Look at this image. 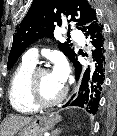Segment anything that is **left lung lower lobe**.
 I'll use <instances>...</instances> for the list:
<instances>
[{
    "label": "left lung lower lobe",
    "mask_w": 117,
    "mask_h": 136,
    "mask_svg": "<svg viewBox=\"0 0 117 136\" xmlns=\"http://www.w3.org/2000/svg\"><path fill=\"white\" fill-rule=\"evenodd\" d=\"M88 34L93 45V60L92 69L89 68L84 73L80 89L75 98H72L65 106H79L89 113L95 114L98 108L100 94L103 89V84L109 64L108 44L104 32L103 25H98L91 29ZM75 66L76 78H79L82 67L74 57L71 59Z\"/></svg>",
    "instance_id": "obj_1"
}]
</instances>
